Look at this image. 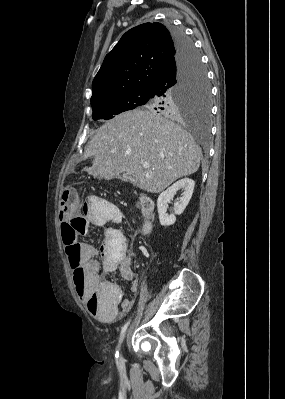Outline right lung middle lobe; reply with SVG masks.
<instances>
[{
	"mask_svg": "<svg viewBox=\"0 0 285 399\" xmlns=\"http://www.w3.org/2000/svg\"><path fill=\"white\" fill-rule=\"evenodd\" d=\"M166 101L170 102V105H166ZM91 105L94 120H108L121 112L145 105L164 113L194 112L207 121L211 109L210 86L206 71L197 54L180 82L169 89L166 96L151 93L150 88L131 89L93 99Z\"/></svg>",
	"mask_w": 285,
	"mask_h": 399,
	"instance_id": "obj_1",
	"label": "right lung middle lobe"
}]
</instances>
